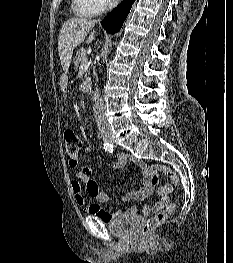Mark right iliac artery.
<instances>
[{
  "instance_id": "right-iliac-artery-1",
  "label": "right iliac artery",
  "mask_w": 233,
  "mask_h": 263,
  "mask_svg": "<svg viewBox=\"0 0 233 263\" xmlns=\"http://www.w3.org/2000/svg\"><path fill=\"white\" fill-rule=\"evenodd\" d=\"M103 149L108 153H112L114 150L113 145H111L110 143H104Z\"/></svg>"
}]
</instances>
